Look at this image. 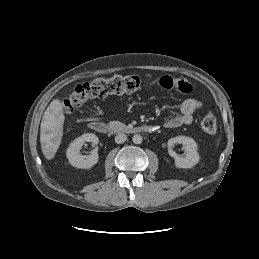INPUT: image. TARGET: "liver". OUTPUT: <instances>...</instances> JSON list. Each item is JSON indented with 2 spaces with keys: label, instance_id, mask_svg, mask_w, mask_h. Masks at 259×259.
<instances>
[{
  "label": "liver",
  "instance_id": "6515ba94",
  "mask_svg": "<svg viewBox=\"0 0 259 259\" xmlns=\"http://www.w3.org/2000/svg\"><path fill=\"white\" fill-rule=\"evenodd\" d=\"M65 121L62 103L54 99L45 110L40 126L42 153L47 160L54 158L62 140Z\"/></svg>",
  "mask_w": 259,
  "mask_h": 259
}]
</instances>
